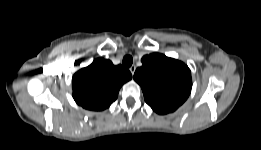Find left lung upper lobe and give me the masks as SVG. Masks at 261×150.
Instances as JSON below:
<instances>
[{"instance_id":"left-lung-upper-lobe-1","label":"left lung upper lobe","mask_w":261,"mask_h":150,"mask_svg":"<svg viewBox=\"0 0 261 150\" xmlns=\"http://www.w3.org/2000/svg\"><path fill=\"white\" fill-rule=\"evenodd\" d=\"M141 61L134 80L141 86L146 103L158 114L175 111L191 92L188 66L159 53L146 55Z\"/></svg>"}]
</instances>
